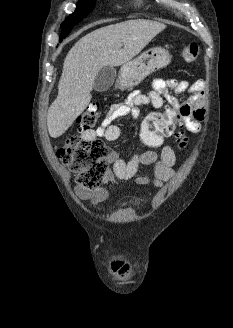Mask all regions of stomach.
I'll list each match as a JSON object with an SVG mask.
<instances>
[{
	"instance_id": "1",
	"label": "stomach",
	"mask_w": 233,
	"mask_h": 328,
	"mask_svg": "<svg viewBox=\"0 0 233 328\" xmlns=\"http://www.w3.org/2000/svg\"><path fill=\"white\" fill-rule=\"evenodd\" d=\"M170 61L171 56L167 50L151 48L121 67L118 87L124 90L138 85L152 72L166 67Z\"/></svg>"
}]
</instances>
